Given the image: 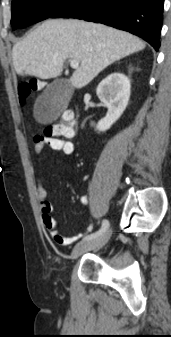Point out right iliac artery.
<instances>
[{
    "label": "right iliac artery",
    "instance_id": "82829eb1",
    "mask_svg": "<svg viewBox=\"0 0 171 337\" xmlns=\"http://www.w3.org/2000/svg\"><path fill=\"white\" fill-rule=\"evenodd\" d=\"M108 228H109V221L107 219H104L103 222H102L101 228L97 232L92 233V234L84 237L83 240L95 239V238L99 237L100 235H102Z\"/></svg>",
    "mask_w": 171,
    "mask_h": 337
}]
</instances>
